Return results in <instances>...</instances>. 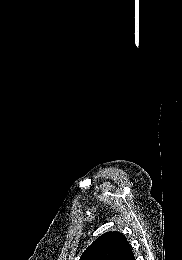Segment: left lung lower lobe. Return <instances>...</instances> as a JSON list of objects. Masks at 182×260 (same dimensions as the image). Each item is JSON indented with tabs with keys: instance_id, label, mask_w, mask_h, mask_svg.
<instances>
[{
	"instance_id": "obj_1",
	"label": "left lung lower lobe",
	"mask_w": 182,
	"mask_h": 260,
	"mask_svg": "<svg viewBox=\"0 0 182 260\" xmlns=\"http://www.w3.org/2000/svg\"><path fill=\"white\" fill-rule=\"evenodd\" d=\"M126 260H135L134 254L131 251L130 255L126 258Z\"/></svg>"
}]
</instances>
